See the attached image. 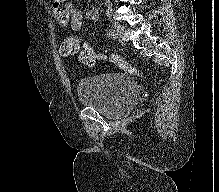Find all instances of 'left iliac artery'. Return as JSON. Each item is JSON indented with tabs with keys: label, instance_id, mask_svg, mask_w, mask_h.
Masks as SVG:
<instances>
[{
	"label": "left iliac artery",
	"instance_id": "44dca946",
	"mask_svg": "<svg viewBox=\"0 0 219 192\" xmlns=\"http://www.w3.org/2000/svg\"><path fill=\"white\" fill-rule=\"evenodd\" d=\"M108 34H109L110 36H114L113 30H112V29H108Z\"/></svg>",
	"mask_w": 219,
	"mask_h": 192
}]
</instances>
